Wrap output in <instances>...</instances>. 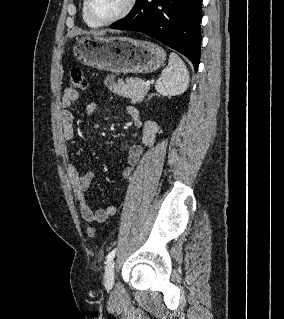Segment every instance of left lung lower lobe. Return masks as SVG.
Returning <instances> with one entry per match:
<instances>
[{
  "instance_id": "obj_1",
  "label": "left lung lower lobe",
  "mask_w": 284,
  "mask_h": 319,
  "mask_svg": "<svg viewBox=\"0 0 284 319\" xmlns=\"http://www.w3.org/2000/svg\"><path fill=\"white\" fill-rule=\"evenodd\" d=\"M202 0H137L131 12L110 28L145 33L191 60L201 56Z\"/></svg>"
}]
</instances>
